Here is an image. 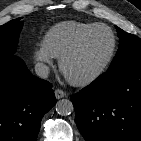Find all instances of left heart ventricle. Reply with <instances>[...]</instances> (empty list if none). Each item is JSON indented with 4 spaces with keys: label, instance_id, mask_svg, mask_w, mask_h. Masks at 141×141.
Segmentation results:
<instances>
[{
    "label": "left heart ventricle",
    "instance_id": "obj_1",
    "mask_svg": "<svg viewBox=\"0 0 141 141\" xmlns=\"http://www.w3.org/2000/svg\"><path fill=\"white\" fill-rule=\"evenodd\" d=\"M111 46L112 38L106 29L94 30L67 62V74L73 78H80L92 73L106 59Z\"/></svg>",
    "mask_w": 141,
    "mask_h": 141
}]
</instances>
